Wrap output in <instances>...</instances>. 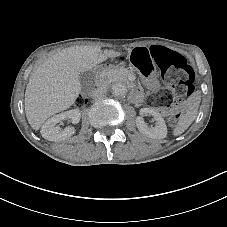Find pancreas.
I'll use <instances>...</instances> for the list:
<instances>
[{
  "mask_svg": "<svg viewBox=\"0 0 227 227\" xmlns=\"http://www.w3.org/2000/svg\"><path fill=\"white\" fill-rule=\"evenodd\" d=\"M132 74V72L126 68H113L108 71H105L101 74L99 78V83L104 84L106 82H112L114 80H123L127 81L128 77Z\"/></svg>",
  "mask_w": 227,
  "mask_h": 227,
  "instance_id": "1",
  "label": "pancreas"
}]
</instances>
